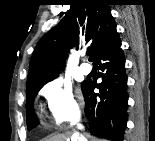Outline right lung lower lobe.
Returning <instances> with one entry per match:
<instances>
[{"label": "right lung lower lobe", "mask_w": 155, "mask_h": 141, "mask_svg": "<svg viewBox=\"0 0 155 141\" xmlns=\"http://www.w3.org/2000/svg\"><path fill=\"white\" fill-rule=\"evenodd\" d=\"M93 62L102 71V82L88 80L81 85L91 133L121 141L127 122L128 94L125 59L117 31L100 47ZM95 88L99 93H94Z\"/></svg>", "instance_id": "98d812e1"}]
</instances>
